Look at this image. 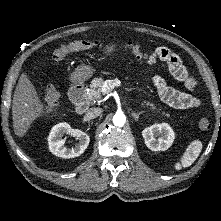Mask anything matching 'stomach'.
<instances>
[{
    "mask_svg": "<svg viewBox=\"0 0 221 221\" xmlns=\"http://www.w3.org/2000/svg\"><path fill=\"white\" fill-rule=\"evenodd\" d=\"M118 47L114 44H108L103 49L102 52L105 55H111L116 52ZM94 73V68L90 65H81L72 74L71 78L74 82H81L89 79Z\"/></svg>",
    "mask_w": 221,
    "mask_h": 221,
    "instance_id": "stomach-1",
    "label": "stomach"
}]
</instances>
